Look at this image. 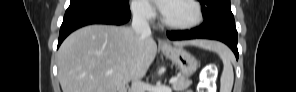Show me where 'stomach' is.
<instances>
[{
	"label": "stomach",
	"instance_id": "0dacf381",
	"mask_svg": "<svg viewBox=\"0 0 296 92\" xmlns=\"http://www.w3.org/2000/svg\"><path fill=\"white\" fill-rule=\"evenodd\" d=\"M163 54L169 58L180 70L185 78L190 77L198 68L197 59L182 46L162 48Z\"/></svg>",
	"mask_w": 296,
	"mask_h": 92
}]
</instances>
